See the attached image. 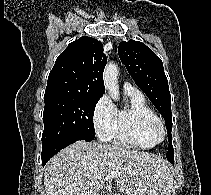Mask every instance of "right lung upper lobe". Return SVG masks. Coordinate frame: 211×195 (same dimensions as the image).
<instances>
[{"instance_id": "right-lung-upper-lobe-1", "label": "right lung upper lobe", "mask_w": 211, "mask_h": 195, "mask_svg": "<svg viewBox=\"0 0 211 195\" xmlns=\"http://www.w3.org/2000/svg\"><path fill=\"white\" fill-rule=\"evenodd\" d=\"M107 58L100 41L83 36L70 43L56 59L45 94L67 93L100 98L105 92L103 71Z\"/></svg>"}]
</instances>
